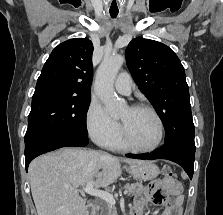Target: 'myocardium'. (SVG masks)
Here are the masks:
<instances>
[{
  "label": "myocardium",
  "instance_id": "myocardium-1",
  "mask_svg": "<svg viewBox=\"0 0 223 215\" xmlns=\"http://www.w3.org/2000/svg\"><path fill=\"white\" fill-rule=\"evenodd\" d=\"M131 108L146 110L153 116V118L155 119V121L157 123V127H158L157 139H156L155 143L148 148L135 147L129 142V140L126 136L125 130L120 122L119 123V134H118L119 141L122 143V145L124 146V148L126 150H129L132 152H151V151L156 150L160 146L162 139H163V134H164L163 122H162L160 116L158 115V113L156 112V110L153 107H151L150 105H148L146 103H139V104L132 106Z\"/></svg>",
  "mask_w": 223,
  "mask_h": 215
}]
</instances>
